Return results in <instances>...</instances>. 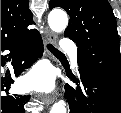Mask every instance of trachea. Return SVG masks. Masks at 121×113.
Instances as JSON below:
<instances>
[{"label":"trachea","instance_id":"obj_1","mask_svg":"<svg viewBox=\"0 0 121 113\" xmlns=\"http://www.w3.org/2000/svg\"><path fill=\"white\" fill-rule=\"evenodd\" d=\"M48 48H49L53 53L62 54V52H60L59 50H57L56 48H54L51 44L48 45Z\"/></svg>","mask_w":121,"mask_h":113}]
</instances>
